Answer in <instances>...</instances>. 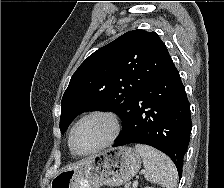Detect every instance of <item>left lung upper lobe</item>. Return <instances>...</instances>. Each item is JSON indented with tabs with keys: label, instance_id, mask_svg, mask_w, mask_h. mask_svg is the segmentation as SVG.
Here are the masks:
<instances>
[{
	"label": "left lung upper lobe",
	"instance_id": "5c2ea615",
	"mask_svg": "<svg viewBox=\"0 0 224 188\" xmlns=\"http://www.w3.org/2000/svg\"><path fill=\"white\" fill-rule=\"evenodd\" d=\"M172 64L155 32L129 31L101 47L79 66L63 95L61 133L77 115L97 109L116 113L124 128L143 87Z\"/></svg>",
	"mask_w": 224,
	"mask_h": 188
}]
</instances>
